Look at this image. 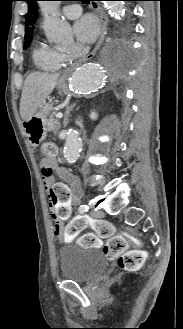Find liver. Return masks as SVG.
Returning a JSON list of instances; mask_svg holds the SVG:
<instances>
[{"label": "liver", "instance_id": "6515ba94", "mask_svg": "<svg viewBox=\"0 0 183 329\" xmlns=\"http://www.w3.org/2000/svg\"><path fill=\"white\" fill-rule=\"evenodd\" d=\"M58 74L41 72L30 73L22 89L20 115L23 120L29 119L45 103L57 84Z\"/></svg>", "mask_w": 183, "mask_h": 329}]
</instances>
